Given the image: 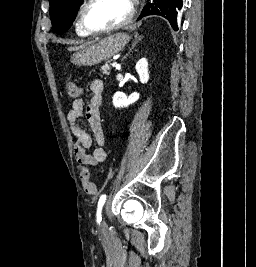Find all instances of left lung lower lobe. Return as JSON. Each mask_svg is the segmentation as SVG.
<instances>
[{
	"instance_id": "1",
	"label": "left lung lower lobe",
	"mask_w": 256,
	"mask_h": 267,
	"mask_svg": "<svg viewBox=\"0 0 256 267\" xmlns=\"http://www.w3.org/2000/svg\"><path fill=\"white\" fill-rule=\"evenodd\" d=\"M181 7H182V0H173L174 16H173V22L170 24L174 30H178V27H177V10L180 9Z\"/></svg>"
}]
</instances>
